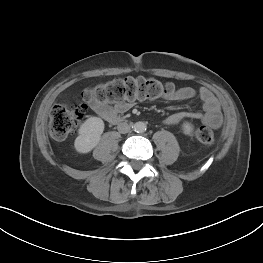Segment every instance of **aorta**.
I'll use <instances>...</instances> for the list:
<instances>
[{"instance_id": "762f6f07", "label": "aorta", "mask_w": 263, "mask_h": 263, "mask_svg": "<svg viewBox=\"0 0 263 263\" xmlns=\"http://www.w3.org/2000/svg\"><path fill=\"white\" fill-rule=\"evenodd\" d=\"M147 129V125L144 122H136L134 124V131L138 132V133H143L145 132Z\"/></svg>"}]
</instances>
